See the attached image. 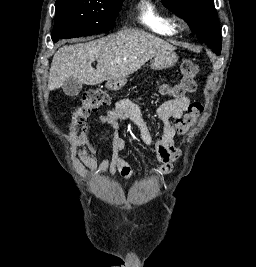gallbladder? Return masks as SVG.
I'll return each instance as SVG.
<instances>
[{"mask_svg": "<svg viewBox=\"0 0 256 267\" xmlns=\"http://www.w3.org/2000/svg\"><path fill=\"white\" fill-rule=\"evenodd\" d=\"M83 88L82 82H79V78H66L65 82H63L62 90L66 96H78Z\"/></svg>", "mask_w": 256, "mask_h": 267, "instance_id": "1", "label": "gallbladder"}]
</instances>
